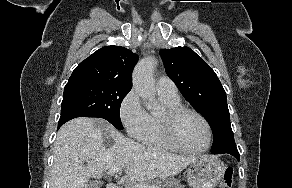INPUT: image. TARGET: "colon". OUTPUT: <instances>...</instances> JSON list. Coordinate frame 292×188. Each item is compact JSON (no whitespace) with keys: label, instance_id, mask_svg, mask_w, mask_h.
<instances>
[{"label":"colon","instance_id":"colon-1","mask_svg":"<svg viewBox=\"0 0 292 188\" xmlns=\"http://www.w3.org/2000/svg\"><path fill=\"white\" fill-rule=\"evenodd\" d=\"M233 184V168L227 167L224 170L221 183L218 188H231Z\"/></svg>","mask_w":292,"mask_h":188}]
</instances>
